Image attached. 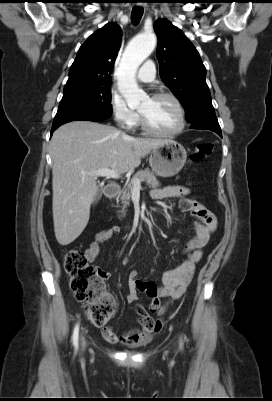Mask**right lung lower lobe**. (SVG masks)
<instances>
[{"label": "right lung lower lobe", "instance_id": "right-lung-lower-lobe-1", "mask_svg": "<svg viewBox=\"0 0 272 401\" xmlns=\"http://www.w3.org/2000/svg\"><path fill=\"white\" fill-rule=\"evenodd\" d=\"M76 120H86V121H94V122H97V121H103L104 119H100V118H96V117H91V116H80V117H75V118L66 120V121H64V122L58 123V124H53V125H52V129H51V135H52V133H53L59 126H61L62 124H65V123L70 122V121H76Z\"/></svg>", "mask_w": 272, "mask_h": 401}]
</instances>
